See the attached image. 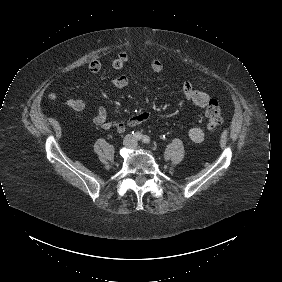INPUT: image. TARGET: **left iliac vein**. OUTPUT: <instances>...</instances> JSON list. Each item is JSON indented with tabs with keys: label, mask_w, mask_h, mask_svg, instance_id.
<instances>
[{
	"label": "left iliac vein",
	"mask_w": 282,
	"mask_h": 282,
	"mask_svg": "<svg viewBox=\"0 0 282 282\" xmlns=\"http://www.w3.org/2000/svg\"><path fill=\"white\" fill-rule=\"evenodd\" d=\"M137 146V143H134V147H136Z\"/></svg>",
	"instance_id": "4c4485c4"
}]
</instances>
